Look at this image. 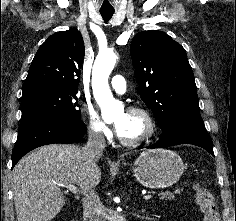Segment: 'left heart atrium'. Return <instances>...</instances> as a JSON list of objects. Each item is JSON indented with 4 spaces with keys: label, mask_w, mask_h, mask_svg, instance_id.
Wrapping results in <instances>:
<instances>
[{
    "label": "left heart atrium",
    "mask_w": 236,
    "mask_h": 221,
    "mask_svg": "<svg viewBox=\"0 0 236 221\" xmlns=\"http://www.w3.org/2000/svg\"><path fill=\"white\" fill-rule=\"evenodd\" d=\"M121 128H122V125H121V124H116V129H117V132H118V133H120Z\"/></svg>",
    "instance_id": "39dd6f15"
}]
</instances>
